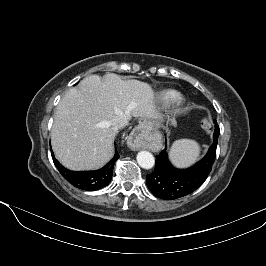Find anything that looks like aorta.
<instances>
[{
    "instance_id": "obj_1",
    "label": "aorta",
    "mask_w": 266,
    "mask_h": 266,
    "mask_svg": "<svg viewBox=\"0 0 266 266\" xmlns=\"http://www.w3.org/2000/svg\"><path fill=\"white\" fill-rule=\"evenodd\" d=\"M136 159L139 166L144 169H151L155 164L154 156L148 151H140Z\"/></svg>"
}]
</instances>
